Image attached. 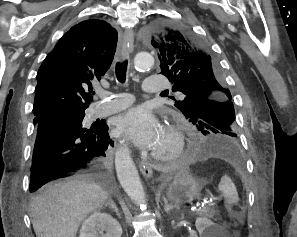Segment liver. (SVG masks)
<instances>
[{"label": "liver", "instance_id": "obj_1", "mask_svg": "<svg viewBox=\"0 0 297 237\" xmlns=\"http://www.w3.org/2000/svg\"><path fill=\"white\" fill-rule=\"evenodd\" d=\"M107 199V190L90 176L47 184L30 203L36 237H76L84 219Z\"/></svg>", "mask_w": 297, "mask_h": 237}]
</instances>
